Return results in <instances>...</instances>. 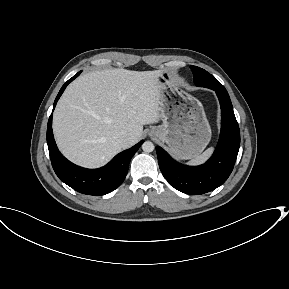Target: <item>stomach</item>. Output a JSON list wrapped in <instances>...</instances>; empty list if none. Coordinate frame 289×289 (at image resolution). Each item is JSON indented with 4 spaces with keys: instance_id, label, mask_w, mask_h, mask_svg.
<instances>
[{
    "instance_id": "0dacf381",
    "label": "stomach",
    "mask_w": 289,
    "mask_h": 289,
    "mask_svg": "<svg viewBox=\"0 0 289 289\" xmlns=\"http://www.w3.org/2000/svg\"><path fill=\"white\" fill-rule=\"evenodd\" d=\"M159 84L162 125L152 128L150 136L167 144L177 159L197 157L211 139V128L201 102L174 84L166 72L161 73Z\"/></svg>"
}]
</instances>
